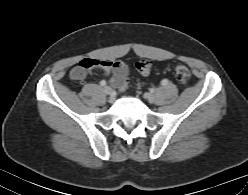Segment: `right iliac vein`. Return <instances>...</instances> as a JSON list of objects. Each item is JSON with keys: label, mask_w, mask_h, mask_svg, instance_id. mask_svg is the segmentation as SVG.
<instances>
[{"label": "right iliac vein", "mask_w": 248, "mask_h": 195, "mask_svg": "<svg viewBox=\"0 0 248 195\" xmlns=\"http://www.w3.org/2000/svg\"><path fill=\"white\" fill-rule=\"evenodd\" d=\"M112 92H113V90H112L111 87H109V86H105V87H104V93H105L106 95H111Z\"/></svg>", "instance_id": "obj_1"}]
</instances>
